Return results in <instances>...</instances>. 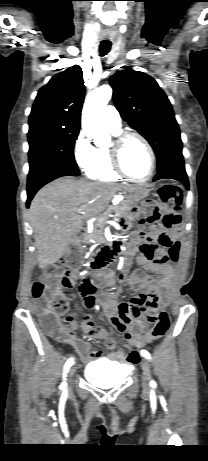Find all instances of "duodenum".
Wrapping results in <instances>:
<instances>
[{
	"instance_id": "obj_1",
	"label": "duodenum",
	"mask_w": 208,
	"mask_h": 461,
	"mask_svg": "<svg viewBox=\"0 0 208 461\" xmlns=\"http://www.w3.org/2000/svg\"><path fill=\"white\" fill-rule=\"evenodd\" d=\"M88 239V232L87 230L85 229H81L77 232V240L80 242V243H85L86 240ZM109 253H108V250L107 248H104L95 258V261L97 263L99 262H105L108 258H109ZM98 277H96L97 279Z\"/></svg>"
}]
</instances>
